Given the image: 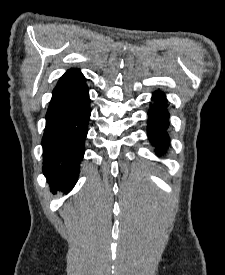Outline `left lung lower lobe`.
I'll return each instance as SVG.
<instances>
[{
  "instance_id": "1",
  "label": "left lung lower lobe",
  "mask_w": 225,
  "mask_h": 275,
  "mask_svg": "<svg viewBox=\"0 0 225 275\" xmlns=\"http://www.w3.org/2000/svg\"><path fill=\"white\" fill-rule=\"evenodd\" d=\"M152 100L155 101L148 112V136L150 142L155 146V153L161 156L169 145L167 129L169 127V113L167 100L164 93L155 91Z\"/></svg>"
}]
</instances>
